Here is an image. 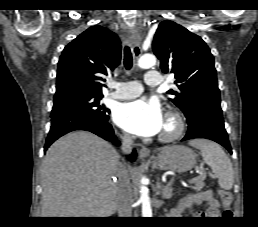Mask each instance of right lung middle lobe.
Segmentation results:
<instances>
[{
	"label": "right lung middle lobe",
	"instance_id": "dd1d6c3e",
	"mask_svg": "<svg viewBox=\"0 0 258 227\" xmlns=\"http://www.w3.org/2000/svg\"><path fill=\"white\" fill-rule=\"evenodd\" d=\"M102 94L84 90H67L56 93L52 112L59 110H75L107 121L109 110L100 105Z\"/></svg>",
	"mask_w": 258,
	"mask_h": 227
}]
</instances>
